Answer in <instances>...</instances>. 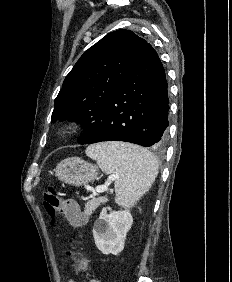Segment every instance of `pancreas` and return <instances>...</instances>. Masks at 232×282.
Segmentation results:
<instances>
[{
    "label": "pancreas",
    "instance_id": "pancreas-1",
    "mask_svg": "<svg viewBox=\"0 0 232 282\" xmlns=\"http://www.w3.org/2000/svg\"><path fill=\"white\" fill-rule=\"evenodd\" d=\"M104 202L102 198H93L85 204L84 213L86 215H91L99 206Z\"/></svg>",
    "mask_w": 232,
    "mask_h": 282
}]
</instances>
